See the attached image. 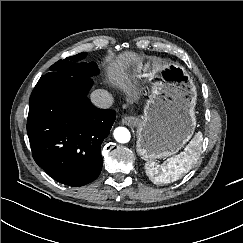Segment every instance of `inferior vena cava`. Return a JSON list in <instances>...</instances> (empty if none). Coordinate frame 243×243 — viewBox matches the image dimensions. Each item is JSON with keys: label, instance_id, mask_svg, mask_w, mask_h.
Here are the masks:
<instances>
[{"label": "inferior vena cava", "instance_id": "1", "mask_svg": "<svg viewBox=\"0 0 243 243\" xmlns=\"http://www.w3.org/2000/svg\"><path fill=\"white\" fill-rule=\"evenodd\" d=\"M91 102L98 108H110L113 104L112 95L104 89L94 90L90 95Z\"/></svg>", "mask_w": 243, "mask_h": 243}]
</instances>
